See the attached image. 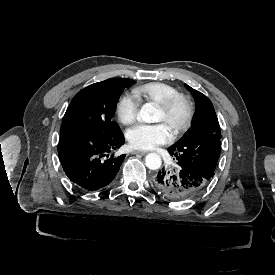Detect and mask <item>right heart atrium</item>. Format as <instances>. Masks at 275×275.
Returning a JSON list of instances; mask_svg holds the SVG:
<instances>
[{"instance_id":"1","label":"right heart atrium","mask_w":275,"mask_h":275,"mask_svg":"<svg viewBox=\"0 0 275 275\" xmlns=\"http://www.w3.org/2000/svg\"><path fill=\"white\" fill-rule=\"evenodd\" d=\"M141 100L133 93L123 94L116 107L119 120L125 124L133 123L138 115Z\"/></svg>"}]
</instances>
